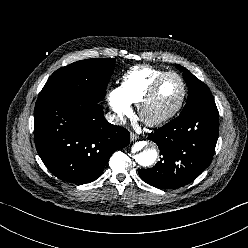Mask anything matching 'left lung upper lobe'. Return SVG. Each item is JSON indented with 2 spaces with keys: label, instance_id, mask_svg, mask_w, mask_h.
I'll list each match as a JSON object with an SVG mask.
<instances>
[{
  "label": "left lung upper lobe",
  "instance_id": "1",
  "mask_svg": "<svg viewBox=\"0 0 248 248\" xmlns=\"http://www.w3.org/2000/svg\"><path fill=\"white\" fill-rule=\"evenodd\" d=\"M175 66L183 72L184 80L188 86V98L181 114H186L199 108L216 105L206 84L196 78L186 68L178 64Z\"/></svg>",
  "mask_w": 248,
  "mask_h": 248
}]
</instances>
